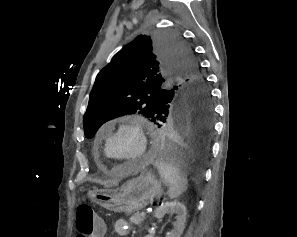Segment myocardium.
Here are the masks:
<instances>
[{
	"label": "myocardium",
	"mask_w": 297,
	"mask_h": 237,
	"mask_svg": "<svg viewBox=\"0 0 297 237\" xmlns=\"http://www.w3.org/2000/svg\"><path fill=\"white\" fill-rule=\"evenodd\" d=\"M130 131L136 136L138 149L137 152L129 157L125 158H118L113 156L108 151V146L110 143V140L121 133L122 131ZM148 149V137L145 131L144 122L137 119H131L128 121H124L120 124H118L106 137L105 144H104V153L105 156L113 161H116L118 163H126L131 161H137L144 157V155L147 153Z\"/></svg>",
	"instance_id": "myocardium-1"
}]
</instances>
